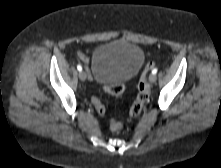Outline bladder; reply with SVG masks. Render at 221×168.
<instances>
[{
	"mask_svg": "<svg viewBox=\"0 0 221 168\" xmlns=\"http://www.w3.org/2000/svg\"><path fill=\"white\" fill-rule=\"evenodd\" d=\"M144 63L143 50L128 41L115 40L97 46L91 58V69L100 84L121 83L139 72Z\"/></svg>",
	"mask_w": 221,
	"mask_h": 168,
	"instance_id": "31cf9c89",
	"label": "bladder"
}]
</instances>
